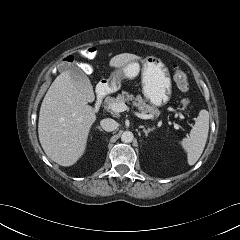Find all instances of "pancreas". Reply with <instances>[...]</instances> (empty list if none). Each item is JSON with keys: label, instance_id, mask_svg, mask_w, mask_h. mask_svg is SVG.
Wrapping results in <instances>:
<instances>
[{"label": "pancreas", "instance_id": "cf45deb5", "mask_svg": "<svg viewBox=\"0 0 240 240\" xmlns=\"http://www.w3.org/2000/svg\"><path fill=\"white\" fill-rule=\"evenodd\" d=\"M130 101L132 102L133 106L137 107L141 111V113L151 115L152 119L160 114V111L157 108L146 104L144 99L140 95L134 97L133 94H130L129 92L126 91H123L121 94H118L116 98L114 97L106 98L105 105L108 109L112 110L111 109L112 104L125 102L129 103ZM182 102L184 105L187 104L186 100H183Z\"/></svg>", "mask_w": 240, "mask_h": 240}]
</instances>
